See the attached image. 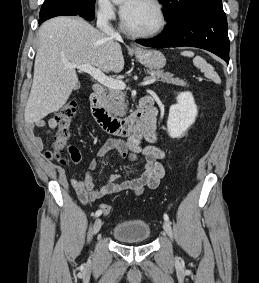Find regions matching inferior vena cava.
I'll return each mask as SVG.
<instances>
[{"instance_id": "602c4592", "label": "inferior vena cava", "mask_w": 259, "mask_h": 283, "mask_svg": "<svg viewBox=\"0 0 259 283\" xmlns=\"http://www.w3.org/2000/svg\"><path fill=\"white\" fill-rule=\"evenodd\" d=\"M97 27L102 33L112 39H120V35L113 29L109 23L108 12L101 10L97 17Z\"/></svg>"}]
</instances>
